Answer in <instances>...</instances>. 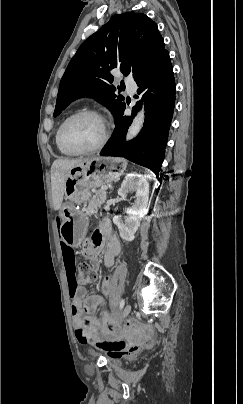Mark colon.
<instances>
[{
    "label": "colon",
    "mask_w": 243,
    "mask_h": 404,
    "mask_svg": "<svg viewBox=\"0 0 243 404\" xmlns=\"http://www.w3.org/2000/svg\"><path fill=\"white\" fill-rule=\"evenodd\" d=\"M97 278L96 271L94 267L87 262L79 264L78 267V280L81 283H91ZM103 292L106 295H111L112 293V280L111 277H105L102 286ZM150 344V340L147 337H142L133 340H123V339H101L96 342L99 348H102L114 355H132L139 352L144 347Z\"/></svg>",
    "instance_id": "1"
}]
</instances>
